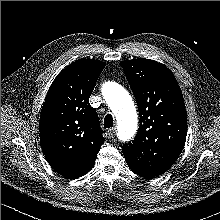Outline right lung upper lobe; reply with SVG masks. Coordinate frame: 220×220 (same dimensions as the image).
<instances>
[{
  "instance_id": "cb5924a9",
  "label": "right lung upper lobe",
  "mask_w": 220,
  "mask_h": 220,
  "mask_svg": "<svg viewBox=\"0 0 220 220\" xmlns=\"http://www.w3.org/2000/svg\"><path fill=\"white\" fill-rule=\"evenodd\" d=\"M105 63L80 59L62 70L51 84L40 116V142L59 174L79 178L94 166L104 143L98 115L89 97Z\"/></svg>"
}]
</instances>
